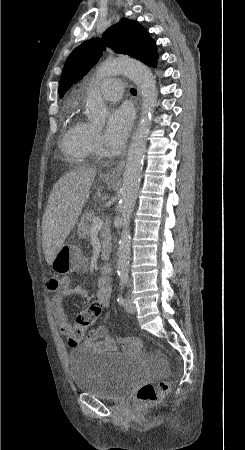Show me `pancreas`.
Listing matches in <instances>:
<instances>
[{"label": "pancreas", "instance_id": "1", "mask_svg": "<svg viewBox=\"0 0 245 450\" xmlns=\"http://www.w3.org/2000/svg\"><path fill=\"white\" fill-rule=\"evenodd\" d=\"M95 218L94 212L89 211L83 214V216L80 219V222L78 223V233L82 238L89 237L90 229L92 226L93 219ZM100 237L102 239V254L101 259L107 260L110 255L111 251V235L109 228H104L100 232Z\"/></svg>", "mask_w": 245, "mask_h": 450}]
</instances>
